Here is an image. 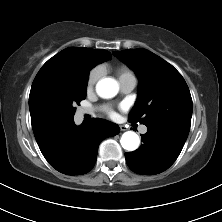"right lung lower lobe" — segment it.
<instances>
[{"label":"right lung lower lobe","instance_id":"1","mask_svg":"<svg viewBox=\"0 0 222 222\" xmlns=\"http://www.w3.org/2000/svg\"><path fill=\"white\" fill-rule=\"evenodd\" d=\"M119 130L117 124L99 118L80 126L73 118H57L35 138L43 156L57 171L82 175L94 167L100 142Z\"/></svg>","mask_w":222,"mask_h":222}]
</instances>
